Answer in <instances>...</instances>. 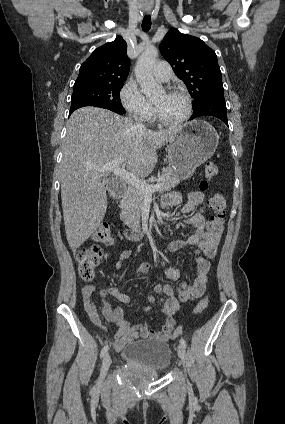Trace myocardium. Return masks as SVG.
I'll return each instance as SVG.
<instances>
[{
	"mask_svg": "<svg viewBox=\"0 0 285 424\" xmlns=\"http://www.w3.org/2000/svg\"><path fill=\"white\" fill-rule=\"evenodd\" d=\"M166 93H168V94H177V95L182 96L185 99V101H186L187 111H186L185 115L181 119L176 120V121H168V120H165L160 115L157 107L154 105V115H155V118H156V120L161 125L166 126V127H179V126H182L183 124H185L191 118V116L193 114V103H192V99H191L190 95L187 92H185L184 90H181L179 88H175V87L169 88L166 91Z\"/></svg>",
	"mask_w": 285,
	"mask_h": 424,
	"instance_id": "myocardium-1",
	"label": "myocardium"
}]
</instances>
